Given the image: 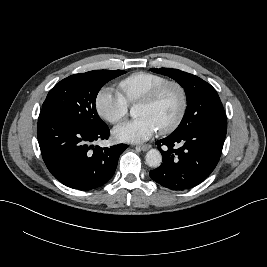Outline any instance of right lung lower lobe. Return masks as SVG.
I'll return each mask as SVG.
<instances>
[{"label": "right lung lower lobe", "mask_w": 267, "mask_h": 267, "mask_svg": "<svg viewBox=\"0 0 267 267\" xmlns=\"http://www.w3.org/2000/svg\"><path fill=\"white\" fill-rule=\"evenodd\" d=\"M108 126L89 129L58 113L41 110L37 137L43 160L62 184L77 190L104 185L113 176L126 144L101 148L96 140L108 139Z\"/></svg>", "instance_id": "1"}]
</instances>
